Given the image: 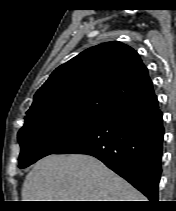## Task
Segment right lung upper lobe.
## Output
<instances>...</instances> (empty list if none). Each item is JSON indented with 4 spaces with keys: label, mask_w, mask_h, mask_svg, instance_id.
Returning a JSON list of instances; mask_svg holds the SVG:
<instances>
[{
    "label": "right lung upper lobe",
    "mask_w": 176,
    "mask_h": 211,
    "mask_svg": "<svg viewBox=\"0 0 176 211\" xmlns=\"http://www.w3.org/2000/svg\"><path fill=\"white\" fill-rule=\"evenodd\" d=\"M155 97L138 53L121 42L91 47L59 66L34 95L27 116L47 109L107 116Z\"/></svg>",
    "instance_id": "obj_1"
}]
</instances>
